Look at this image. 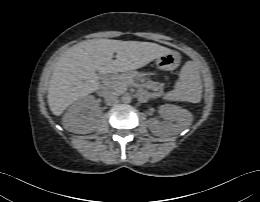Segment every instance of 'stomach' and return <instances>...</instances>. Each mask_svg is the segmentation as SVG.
I'll return each mask as SVG.
<instances>
[{
    "instance_id": "1",
    "label": "stomach",
    "mask_w": 260,
    "mask_h": 202,
    "mask_svg": "<svg viewBox=\"0 0 260 202\" xmlns=\"http://www.w3.org/2000/svg\"><path fill=\"white\" fill-rule=\"evenodd\" d=\"M180 56L175 52H170L159 56L156 65L162 70H174L179 66Z\"/></svg>"
}]
</instances>
